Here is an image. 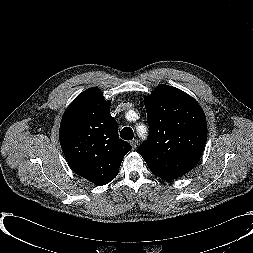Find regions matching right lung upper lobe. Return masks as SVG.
Listing matches in <instances>:
<instances>
[{
    "mask_svg": "<svg viewBox=\"0 0 253 253\" xmlns=\"http://www.w3.org/2000/svg\"><path fill=\"white\" fill-rule=\"evenodd\" d=\"M59 138L73 171L98 186L117 176L124 156L132 149L119 139L110 102L98 88L85 90L70 104L61 120Z\"/></svg>",
    "mask_w": 253,
    "mask_h": 253,
    "instance_id": "cb5924a9",
    "label": "right lung upper lobe"
}]
</instances>
